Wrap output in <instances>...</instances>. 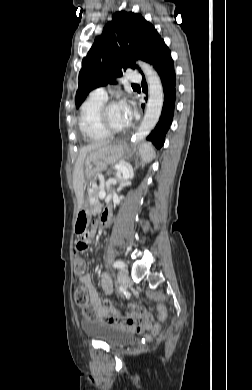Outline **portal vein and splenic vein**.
<instances>
[{
    "label": "portal vein and splenic vein",
    "mask_w": 252,
    "mask_h": 390,
    "mask_svg": "<svg viewBox=\"0 0 252 390\" xmlns=\"http://www.w3.org/2000/svg\"><path fill=\"white\" fill-rule=\"evenodd\" d=\"M115 169L117 170V173H118V174H119V173H122L123 176H126V175L128 174V170H127L126 166H123V165H115ZM112 182H114V181H113V180H110V181L107 183V186H109L110 183H112ZM103 187H104V184H102L101 188H103ZM105 196H106L105 191H101V192L99 193V197H100V198H104Z\"/></svg>",
    "instance_id": "obj_1"
}]
</instances>
